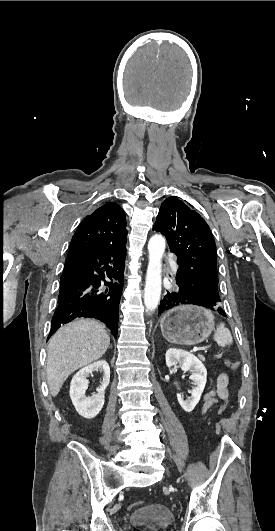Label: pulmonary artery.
Segmentation results:
<instances>
[{"mask_svg": "<svg viewBox=\"0 0 275 531\" xmlns=\"http://www.w3.org/2000/svg\"><path fill=\"white\" fill-rule=\"evenodd\" d=\"M169 261H170V263H169V266H170V267H169V272H170L171 274H176V273L178 272V268H179V266H180L179 261L176 260V259H173V260H172V258H169Z\"/></svg>", "mask_w": 275, "mask_h": 531, "instance_id": "obj_1", "label": "pulmonary artery"}]
</instances>
